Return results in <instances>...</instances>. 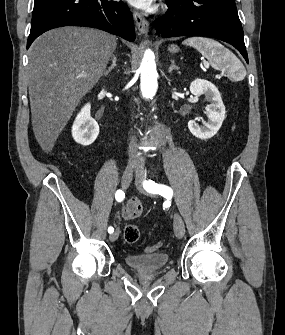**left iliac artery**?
Segmentation results:
<instances>
[{"mask_svg":"<svg viewBox=\"0 0 285 335\" xmlns=\"http://www.w3.org/2000/svg\"><path fill=\"white\" fill-rule=\"evenodd\" d=\"M143 187L149 193L159 194L161 196L173 195V190L170 187L157 184L152 180L144 181Z\"/></svg>","mask_w":285,"mask_h":335,"instance_id":"1","label":"left iliac artery"}]
</instances>
